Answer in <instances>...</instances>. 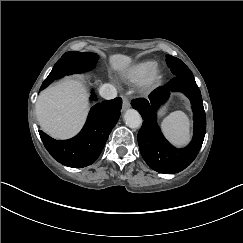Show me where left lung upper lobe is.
Segmentation results:
<instances>
[{
	"mask_svg": "<svg viewBox=\"0 0 243 243\" xmlns=\"http://www.w3.org/2000/svg\"><path fill=\"white\" fill-rule=\"evenodd\" d=\"M166 63L175 76L194 77L191 70L180 59L166 55Z\"/></svg>",
	"mask_w": 243,
	"mask_h": 243,
	"instance_id": "obj_1",
	"label": "left lung upper lobe"
}]
</instances>
